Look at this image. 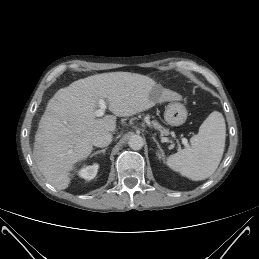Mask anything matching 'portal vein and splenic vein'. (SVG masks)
Listing matches in <instances>:
<instances>
[{
	"label": "portal vein and splenic vein",
	"mask_w": 259,
	"mask_h": 259,
	"mask_svg": "<svg viewBox=\"0 0 259 259\" xmlns=\"http://www.w3.org/2000/svg\"><path fill=\"white\" fill-rule=\"evenodd\" d=\"M106 109H107L106 102L103 99H100L99 100V109H97L95 111V116L96 117H102L104 115ZM181 141H182V143L184 144L185 147L189 146L188 140L186 138H182Z\"/></svg>",
	"instance_id": "18ae733b"
}]
</instances>
